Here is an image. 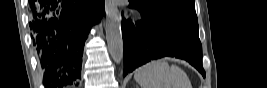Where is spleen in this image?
<instances>
[{
  "instance_id": "obj_1",
  "label": "spleen",
  "mask_w": 267,
  "mask_h": 88,
  "mask_svg": "<svg viewBox=\"0 0 267 88\" xmlns=\"http://www.w3.org/2000/svg\"><path fill=\"white\" fill-rule=\"evenodd\" d=\"M134 79L141 88H191L186 73L165 60H153L139 67Z\"/></svg>"
}]
</instances>
